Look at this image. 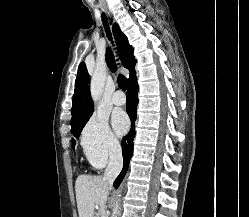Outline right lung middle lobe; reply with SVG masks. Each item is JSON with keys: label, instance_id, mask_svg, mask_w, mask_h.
Masks as SVG:
<instances>
[{"label": "right lung middle lobe", "instance_id": "1", "mask_svg": "<svg viewBox=\"0 0 249 217\" xmlns=\"http://www.w3.org/2000/svg\"><path fill=\"white\" fill-rule=\"evenodd\" d=\"M92 115V113H90L89 115H87L85 118H83L82 120H80L79 122L72 124V128H71V132L74 135V137L79 138V135L84 127V125L86 124V122L89 120L90 116ZM72 144L73 147L75 146V141L74 139H72Z\"/></svg>", "mask_w": 249, "mask_h": 217}]
</instances>
